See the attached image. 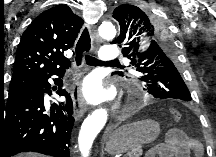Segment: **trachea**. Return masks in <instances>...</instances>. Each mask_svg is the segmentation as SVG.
I'll use <instances>...</instances> for the list:
<instances>
[{
  "label": "trachea",
  "mask_w": 216,
  "mask_h": 157,
  "mask_svg": "<svg viewBox=\"0 0 216 157\" xmlns=\"http://www.w3.org/2000/svg\"><path fill=\"white\" fill-rule=\"evenodd\" d=\"M85 44H90V36H89V33H88V30L85 29L81 35V38L78 42V48L81 49V50H85L86 48L84 47ZM85 60H86V63L88 65H103V64H110V63H115V61H110V62H103V61H100L94 57H91V56H85Z\"/></svg>",
  "instance_id": "1"
}]
</instances>
